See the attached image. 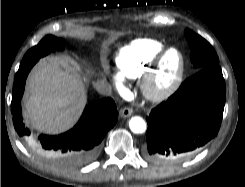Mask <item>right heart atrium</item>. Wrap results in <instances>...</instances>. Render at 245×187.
<instances>
[{"label": "right heart atrium", "mask_w": 245, "mask_h": 187, "mask_svg": "<svg viewBox=\"0 0 245 187\" xmlns=\"http://www.w3.org/2000/svg\"><path fill=\"white\" fill-rule=\"evenodd\" d=\"M114 80H115V82H116L117 87H118L121 91H123V86H122V84L120 83V81H119L118 79H116V78H114Z\"/></svg>", "instance_id": "obj_1"}]
</instances>
